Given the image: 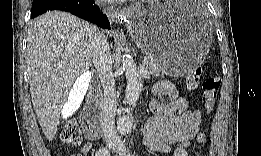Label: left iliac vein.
Segmentation results:
<instances>
[{
    "mask_svg": "<svg viewBox=\"0 0 261 156\" xmlns=\"http://www.w3.org/2000/svg\"><path fill=\"white\" fill-rule=\"evenodd\" d=\"M115 151L119 154V155H126L127 153V149L124 145L123 142H119L117 143L116 147H115Z\"/></svg>",
    "mask_w": 261,
    "mask_h": 156,
    "instance_id": "obj_1",
    "label": "left iliac vein"
}]
</instances>
